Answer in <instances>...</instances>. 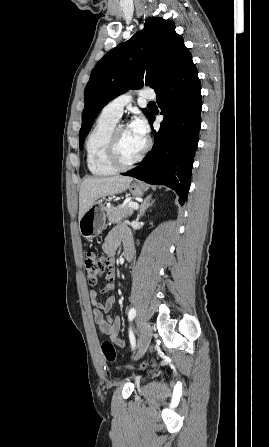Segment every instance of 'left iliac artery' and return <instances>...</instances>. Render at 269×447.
Segmentation results:
<instances>
[{
    "mask_svg": "<svg viewBox=\"0 0 269 447\" xmlns=\"http://www.w3.org/2000/svg\"><path fill=\"white\" fill-rule=\"evenodd\" d=\"M135 316H136V309L131 308L128 313L129 321H132ZM129 338H130V343H131L132 349H134L135 348V337H134V334L131 329L129 330Z\"/></svg>",
    "mask_w": 269,
    "mask_h": 447,
    "instance_id": "obj_1",
    "label": "left iliac artery"
}]
</instances>
